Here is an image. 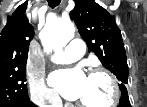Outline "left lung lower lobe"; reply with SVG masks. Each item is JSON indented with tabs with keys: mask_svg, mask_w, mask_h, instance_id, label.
Segmentation results:
<instances>
[{
	"mask_svg": "<svg viewBox=\"0 0 147 107\" xmlns=\"http://www.w3.org/2000/svg\"><path fill=\"white\" fill-rule=\"evenodd\" d=\"M118 107H131L127 93L121 94L120 103Z\"/></svg>",
	"mask_w": 147,
	"mask_h": 107,
	"instance_id": "1",
	"label": "left lung lower lobe"
}]
</instances>
